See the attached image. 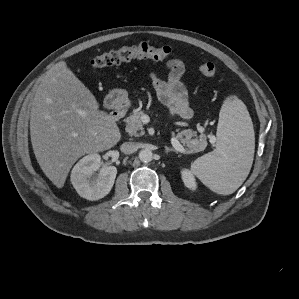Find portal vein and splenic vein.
I'll return each mask as SVG.
<instances>
[{"instance_id":"portal-vein-and-splenic-vein-1","label":"portal vein and splenic vein","mask_w":299,"mask_h":299,"mask_svg":"<svg viewBox=\"0 0 299 299\" xmlns=\"http://www.w3.org/2000/svg\"><path fill=\"white\" fill-rule=\"evenodd\" d=\"M171 143H172L173 147L180 153H183V154L187 153L185 148L180 144V142L175 137L171 138Z\"/></svg>"}]
</instances>
